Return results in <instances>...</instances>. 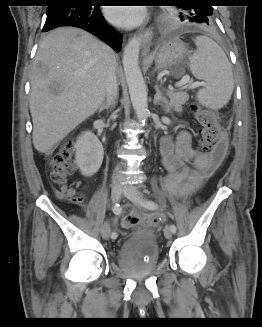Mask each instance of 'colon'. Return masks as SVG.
<instances>
[{
    "instance_id": "1",
    "label": "colon",
    "mask_w": 262,
    "mask_h": 327,
    "mask_svg": "<svg viewBox=\"0 0 262 327\" xmlns=\"http://www.w3.org/2000/svg\"><path fill=\"white\" fill-rule=\"evenodd\" d=\"M191 109L199 124V151L209 154L211 170L219 168L228 154V141L223 133L217 116L209 109L198 104L191 105ZM74 144L68 142L52 158L49 175L51 181L60 186L61 194L72 197L73 191L67 187V178L74 172L73 161ZM148 223L156 225L161 220L160 215H150L146 218ZM138 222L134 215H125L121 219L123 227H132Z\"/></svg>"
}]
</instances>
